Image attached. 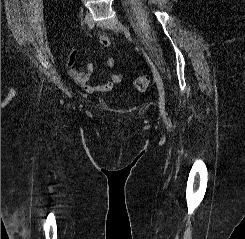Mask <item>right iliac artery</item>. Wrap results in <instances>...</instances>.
<instances>
[{
	"mask_svg": "<svg viewBox=\"0 0 245 239\" xmlns=\"http://www.w3.org/2000/svg\"><path fill=\"white\" fill-rule=\"evenodd\" d=\"M94 28V22L88 25V31H91Z\"/></svg>",
	"mask_w": 245,
	"mask_h": 239,
	"instance_id": "right-iliac-artery-1",
	"label": "right iliac artery"
}]
</instances>
